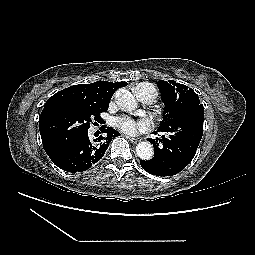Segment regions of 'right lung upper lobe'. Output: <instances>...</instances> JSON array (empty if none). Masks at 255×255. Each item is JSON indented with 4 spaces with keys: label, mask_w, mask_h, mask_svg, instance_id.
Wrapping results in <instances>:
<instances>
[{
    "label": "right lung upper lobe",
    "mask_w": 255,
    "mask_h": 255,
    "mask_svg": "<svg viewBox=\"0 0 255 255\" xmlns=\"http://www.w3.org/2000/svg\"><path fill=\"white\" fill-rule=\"evenodd\" d=\"M126 85V82L98 81L70 86L50 97L45 103L43 111L60 105L72 107L108 106L114 92Z\"/></svg>",
    "instance_id": "obj_1"
}]
</instances>
